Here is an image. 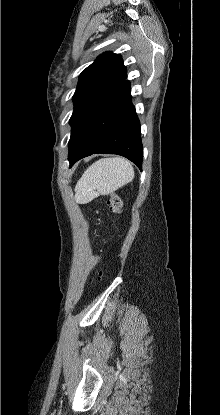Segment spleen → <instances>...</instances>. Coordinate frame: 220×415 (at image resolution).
I'll list each match as a JSON object with an SVG mask.
<instances>
[{"label":"spleen","mask_w":220,"mask_h":415,"mask_svg":"<svg viewBox=\"0 0 220 415\" xmlns=\"http://www.w3.org/2000/svg\"><path fill=\"white\" fill-rule=\"evenodd\" d=\"M134 178L132 164L122 157L96 161L84 172L75 186V200L85 204L99 195L110 194Z\"/></svg>","instance_id":"obj_1"}]
</instances>
